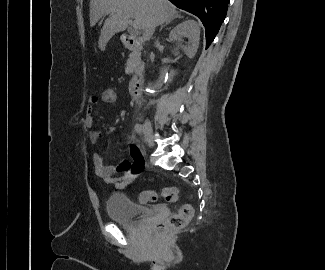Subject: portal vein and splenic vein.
<instances>
[{
  "instance_id": "18ae733b",
  "label": "portal vein and splenic vein",
  "mask_w": 325,
  "mask_h": 270,
  "mask_svg": "<svg viewBox=\"0 0 325 270\" xmlns=\"http://www.w3.org/2000/svg\"><path fill=\"white\" fill-rule=\"evenodd\" d=\"M131 26L133 27V29H140V24L137 20H131Z\"/></svg>"
}]
</instances>
